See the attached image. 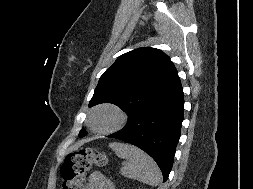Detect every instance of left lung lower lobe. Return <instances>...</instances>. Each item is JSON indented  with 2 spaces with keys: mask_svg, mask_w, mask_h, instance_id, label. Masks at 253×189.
I'll return each mask as SVG.
<instances>
[{
  "mask_svg": "<svg viewBox=\"0 0 253 189\" xmlns=\"http://www.w3.org/2000/svg\"><path fill=\"white\" fill-rule=\"evenodd\" d=\"M183 105V91L178 79L163 95L133 115L123 129L108 137L131 143L148 153L160 167L165 182L180 138Z\"/></svg>",
  "mask_w": 253,
  "mask_h": 189,
  "instance_id": "left-lung-lower-lobe-1",
  "label": "left lung lower lobe"
}]
</instances>
